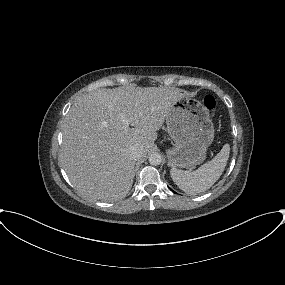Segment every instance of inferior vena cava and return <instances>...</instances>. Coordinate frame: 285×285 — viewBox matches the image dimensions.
<instances>
[{
	"label": "inferior vena cava",
	"mask_w": 285,
	"mask_h": 285,
	"mask_svg": "<svg viewBox=\"0 0 285 285\" xmlns=\"http://www.w3.org/2000/svg\"><path fill=\"white\" fill-rule=\"evenodd\" d=\"M129 156L133 159V160H138L143 156V153L141 151V149L138 146H131L129 148Z\"/></svg>",
	"instance_id": "602c4592"
}]
</instances>
